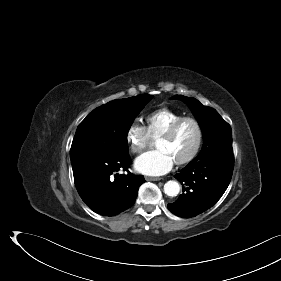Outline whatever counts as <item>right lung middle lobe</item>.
<instances>
[{
  "mask_svg": "<svg viewBox=\"0 0 281 281\" xmlns=\"http://www.w3.org/2000/svg\"><path fill=\"white\" fill-rule=\"evenodd\" d=\"M152 97L142 94L113 100L88 114L75 133L70 150L71 162L93 157L116 159L129 155L128 131Z\"/></svg>",
  "mask_w": 281,
  "mask_h": 281,
  "instance_id": "right-lung-middle-lobe-1",
  "label": "right lung middle lobe"
}]
</instances>
